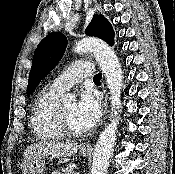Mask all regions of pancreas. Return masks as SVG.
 I'll return each mask as SVG.
<instances>
[{"instance_id": "obj_1", "label": "pancreas", "mask_w": 175, "mask_h": 174, "mask_svg": "<svg viewBox=\"0 0 175 174\" xmlns=\"http://www.w3.org/2000/svg\"><path fill=\"white\" fill-rule=\"evenodd\" d=\"M64 174H75L74 173V166L69 164L66 168L63 169Z\"/></svg>"}]
</instances>
